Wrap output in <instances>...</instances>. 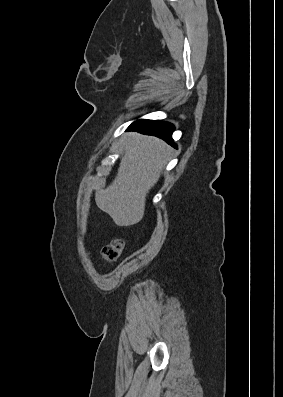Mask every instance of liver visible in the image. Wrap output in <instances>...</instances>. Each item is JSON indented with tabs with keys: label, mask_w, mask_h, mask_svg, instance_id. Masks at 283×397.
Masks as SVG:
<instances>
[{
	"label": "liver",
	"mask_w": 283,
	"mask_h": 397,
	"mask_svg": "<svg viewBox=\"0 0 283 397\" xmlns=\"http://www.w3.org/2000/svg\"><path fill=\"white\" fill-rule=\"evenodd\" d=\"M115 180L95 194L97 206L116 225L131 226L144 216L149 190L157 183L171 148L162 140L137 133L127 134Z\"/></svg>",
	"instance_id": "6515ba94"
}]
</instances>
